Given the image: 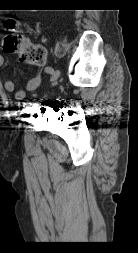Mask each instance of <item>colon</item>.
Listing matches in <instances>:
<instances>
[{
    "label": "colon",
    "instance_id": "1",
    "mask_svg": "<svg viewBox=\"0 0 138 253\" xmlns=\"http://www.w3.org/2000/svg\"><path fill=\"white\" fill-rule=\"evenodd\" d=\"M14 20L7 21L8 27H14ZM3 48L8 52L19 53L20 60L29 65H42L46 59L45 49L41 46L29 43L24 37L16 32L5 35Z\"/></svg>",
    "mask_w": 138,
    "mask_h": 253
}]
</instances>
